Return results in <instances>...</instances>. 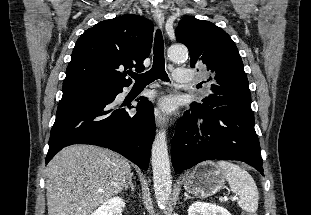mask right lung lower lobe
Segmentation results:
<instances>
[{
  "label": "right lung lower lobe",
  "mask_w": 311,
  "mask_h": 215,
  "mask_svg": "<svg viewBox=\"0 0 311 215\" xmlns=\"http://www.w3.org/2000/svg\"><path fill=\"white\" fill-rule=\"evenodd\" d=\"M99 85L108 88L100 96L72 94L62 97L51 129L46 164L63 147L91 144L120 153L147 170L155 136L152 103L144 97L137 99V113L129 115L114 103L123 87Z\"/></svg>",
  "instance_id": "98d812e1"
}]
</instances>
